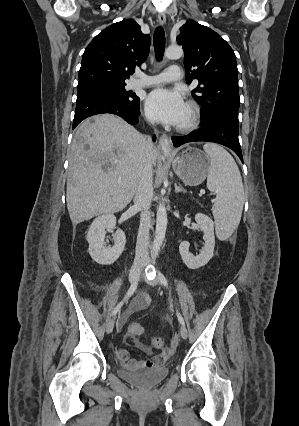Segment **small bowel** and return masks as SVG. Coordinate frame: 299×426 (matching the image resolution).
<instances>
[{
	"label": "small bowel",
	"instance_id": "small-bowel-1",
	"mask_svg": "<svg viewBox=\"0 0 299 426\" xmlns=\"http://www.w3.org/2000/svg\"><path fill=\"white\" fill-rule=\"evenodd\" d=\"M149 305V298L146 295H140L132 302L127 313L144 310ZM120 320V326L124 323L125 317ZM135 346L145 352L148 355H151L146 359H133L130 357V352L126 347H120L116 354L120 360L123 367L129 370H136L139 368H156L161 366L169 358V352H163L158 355H152V350L143 342L136 341Z\"/></svg>",
	"mask_w": 299,
	"mask_h": 426
}]
</instances>
